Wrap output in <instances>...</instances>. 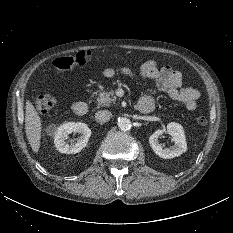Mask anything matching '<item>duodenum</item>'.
<instances>
[{"mask_svg": "<svg viewBox=\"0 0 233 233\" xmlns=\"http://www.w3.org/2000/svg\"><path fill=\"white\" fill-rule=\"evenodd\" d=\"M152 105L150 103L139 102L136 105V109L142 113H148L152 110ZM73 113L77 116H83L88 111V106L85 101H77L72 106Z\"/></svg>", "mask_w": 233, "mask_h": 233, "instance_id": "1", "label": "duodenum"}]
</instances>
